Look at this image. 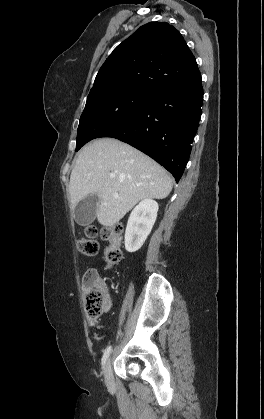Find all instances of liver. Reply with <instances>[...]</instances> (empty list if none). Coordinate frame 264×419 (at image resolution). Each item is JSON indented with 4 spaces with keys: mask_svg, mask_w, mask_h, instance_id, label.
<instances>
[{
    "mask_svg": "<svg viewBox=\"0 0 264 419\" xmlns=\"http://www.w3.org/2000/svg\"><path fill=\"white\" fill-rule=\"evenodd\" d=\"M172 186L166 170L149 156L119 140L103 138L80 151L69 192L73 209L88 195L97 194L98 222L112 227L140 200L166 198Z\"/></svg>",
    "mask_w": 264,
    "mask_h": 419,
    "instance_id": "liver-1",
    "label": "liver"
}]
</instances>
